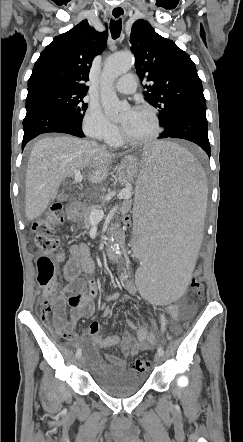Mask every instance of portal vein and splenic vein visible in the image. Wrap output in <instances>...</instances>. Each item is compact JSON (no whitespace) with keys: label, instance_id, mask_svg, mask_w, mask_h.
Wrapping results in <instances>:
<instances>
[{"label":"portal vein and splenic vein","instance_id":"1","mask_svg":"<svg viewBox=\"0 0 243 442\" xmlns=\"http://www.w3.org/2000/svg\"><path fill=\"white\" fill-rule=\"evenodd\" d=\"M74 175H75V181L77 182L82 181L83 176L81 175L80 170H75ZM131 197H132V191L130 188H126L118 194L119 199H130ZM103 216L104 213L102 210L94 209L90 213V220L94 222H99L100 220H102Z\"/></svg>","mask_w":243,"mask_h":442}]
</instances>
